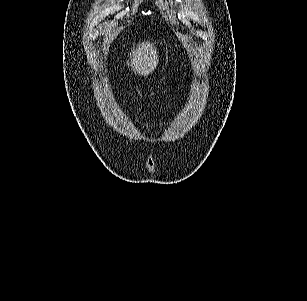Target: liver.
Returning a JSON list of instances; mask_svg holds the SVG:
<instances>
[{"label":"liver","instance_id":"liver-1","mask_svg":"<svg viewBox=\"0 0 307 301\" xmlns=\"http://www.w3.org/2000/svg\"><path fill=\"white\" fill-rule=\"evenodd\" d=\"M129 56L130 60H126L128 68L132 66L135 74H143V76L151 74L159 60L157 50L149 40L139 42L137 46H133L131 52H129Z\"/></svg>","mask_w":307,"mask_h":301}]
</instances>
